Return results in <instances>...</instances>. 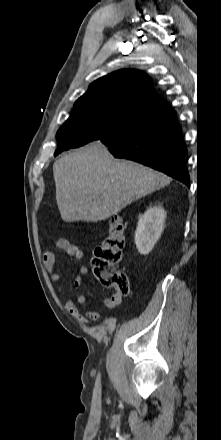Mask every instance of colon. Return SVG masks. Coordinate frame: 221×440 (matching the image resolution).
<instances>
[{"label": "colon", "instance_id": "colon-1", "mask_svg": "<svg viewBox=\"0 0 221 440\" xmlns=\"http://www.w3.org/2000/svg\"><path fill=\"white\" fill-rule=\"evenodd\" d=\"M125 240V226L119 217L110 221L109 230L103 242L95 248L92 265L96 279L101 285L124 297L129 293L127 275L117 269L122 258Z\"/></svg>", "mask_w": 221, "mask_h": 440}]
</instances>
